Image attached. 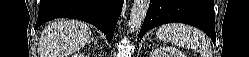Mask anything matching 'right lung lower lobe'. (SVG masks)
I'll use <instances>...</instances> for the list:
<instances>
[{"label":"right lung lower lobe","instance_id":"right-lung-lower-lobe-1","mask_svg":"<svg viewBox=\"0 0 249 57\" xmlns=\"http://www.w3.org/2000/svg\"><path fill=\"white\" fill-rule=\"evenodd\" d=\"M123 0H41L35 29L55 18H73L93 24L108 41L121 14Z\"/></svg>","mask_w":249,"mask_h":57}]
</instances>
